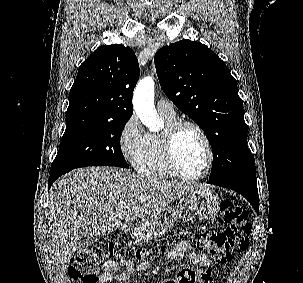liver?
I'll use <instances>...</instances> for the list:
<instances>
[{"label":"liver","mask_w":303,"mask_h":283,"mask_svg":"<svg viewBox=\"0 0 303 283\" xmlns=\"http://www.w3.org/2000/svg\"><path fill=\"white\" fill-rule=\"evenodd\" d=\"M200 187L114 167L80 168L62 176L50 189L48 206L50 245L60 276L81 236H100L119 228L123 219L162 213L173 200Z\"/></svg>","instance_id":"obj_1"}]
</instances>
